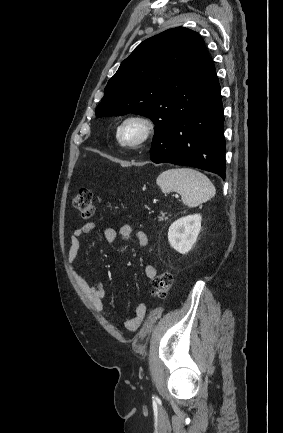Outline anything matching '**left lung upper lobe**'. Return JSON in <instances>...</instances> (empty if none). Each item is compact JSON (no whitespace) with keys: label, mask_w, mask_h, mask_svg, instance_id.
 <instances>
[{"label":"left lung upper lobe","mask_w":283,"mask_h":433,"mask_svg":"<svg viewBox=\"0 0 283 433\" xmlns=\"http://www.w3.org/2000/svg\"><path fill=\"white\" fill-rule=\"evenodd\" d=\"M210 59L204 41L183 27L143 41L109 80L96 116L128 113L169 126L197 106L198 80Z\"/></svg>","instance_id":"5c2ea615"}]
</instances>
